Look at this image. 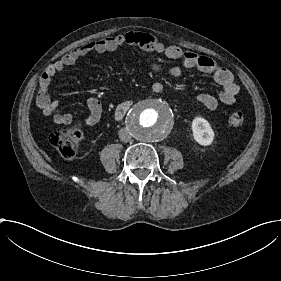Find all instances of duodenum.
<instances>
[{"instance_id":"410a0bca","label":"duodenum","mask_w":281,"mask_h":281,"mask_svg":"<svg viewBox=\"0 0 281 281\" xmlns=\"http://www.w3.org/2000/svg\"><path fill=\"white\" fill-rule=\"evenodd\" d=\"M131 106L130 102H124L122 104H120L115 111V117L116 119L120 120L122 119L126 113L128 112L129 108Z\"/></svg>"}]
</instances>
